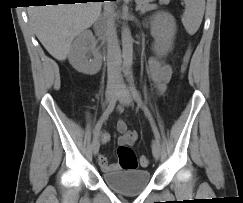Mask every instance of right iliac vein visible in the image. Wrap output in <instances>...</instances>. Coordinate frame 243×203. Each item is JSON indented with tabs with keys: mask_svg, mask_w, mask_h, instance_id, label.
Wrapping results in <instances>:
<instances>
[{
	"mask_svg": "<svg viewBox=\"0 0 243 203\" xmlns=\"http://www.w3.org/2000/svg\"><path fill=\"white\" fill-rule=\"evenodd\" d=\"M116 91H117V89L114 86H111L107 89L106 101L108 103L114 98V96L116 95ZM99 148H100V142H99V139L97 137L93 140V143H92V152H93L94 155L98 154Z\"/></svg>",
	"mask_w": 243,
	"mask_h": 203,
	"instance_id": "1",
	"label": "right iliac vein"
}]
</instances>
